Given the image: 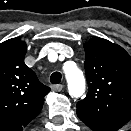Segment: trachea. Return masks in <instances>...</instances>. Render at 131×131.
I'll return each mask as SVG.
<instances>
[{"label": "trachea", "mask_w": 131, "mask_h": 131, "mask_svg": "<svg viewBox=\"0 0 131 131\" xmlns=\"http://www.w3.org/2000/svg\"><path fill=\"white\" fill-rule=\"evenodd\" d=\"M62 75L60 72H54L50 76V82L52 84H59L61 81Z\"/></svg>", "instance_id": "trachea-1"}]
</instances>
